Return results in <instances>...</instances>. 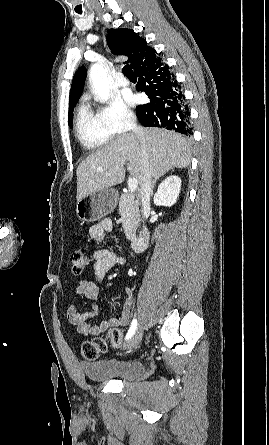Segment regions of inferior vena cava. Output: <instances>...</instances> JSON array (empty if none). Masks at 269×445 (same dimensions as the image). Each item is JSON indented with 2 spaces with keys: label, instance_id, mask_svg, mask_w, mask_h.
<instances>
[{
  "label": "inferior vena cava",
  "instance_id": "1",
  "mask_svg": "<svg viewBox=\"0 0 269 445\" xmlns=\"http://www.w3.org/2000/svg\"><path fill=\"white\" fill-rule=\"evenodd\" d=\"M130 129L132 132L140 138L142 148V160H143V176L140 186V198L142 203V211L144 217L146 216L150 207V191L152 185L151 173L149 170L148 155L146 154V147L144 143V129L139 127L135 119L130 121Z\"/></svg>",
  "mask_w": 269,
  "mask_h": 445
}]
</instances>
